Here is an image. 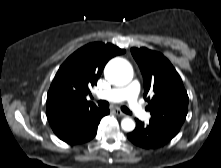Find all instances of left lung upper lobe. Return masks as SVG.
Listing matches in <instances>:
<instances>
[{"mask_svg": "<svg viewBox=\"0 0 221 168\" xmlns=\"http://www.w3.org/2000/svg\"><path fill=\"white\" fill-rule=\"evenodd\" d=\"M144 82V99L152 117L150 122L178 133L188 112V95L181 77L161 53L132 48Z\"/></svg>", "mask_w": 221, "mask_h": 168, "instance_id": "obj_1", "label": "left lung upper lobe"}]
</instances>
